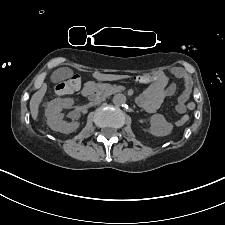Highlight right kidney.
Returning a JSON list of instances; mask_svg holds the SVG:
<instances>
[{"instance_id":"1","label":"right kidney","mask_w":225,"mask_h":225,"mask_svg":"<svg viewBox=\"0 0 225 225\" xmlns=\"http://www.w3.org/2000/svg\"><path fill=\"white\" fill-rule=\"evenodd\" d=\"M73 104L74 101L71 98H57L48 103L45 115L47 117V124L52 130L69 134L78 129L79 122L65 123L62 121V109H71Z\"/></svg>"}]
</instances>
